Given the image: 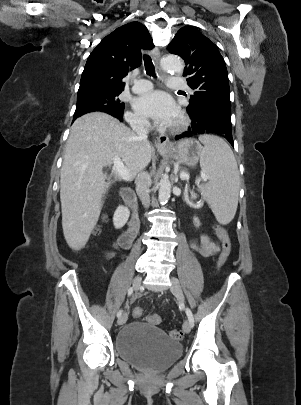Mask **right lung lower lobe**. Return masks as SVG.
Wrapping results in <instances>:
<instances>
[{
	"instance_id": "1",
	"label": "right lung lower lobe",
	"mask_w": 301,
	"mask_h": 405,
	"mask_svg": "<svg viewBox=\"0 0 301 405\" xmlns=\"http://www.w3.org/2000/svg\"><path fill=\"white\" fill-rule=\"evenodd\" d=\"M114 117H116V118H118L119 120H121L122 121V115H113ZM75 120V119H74Z\"/></svg>"
}]
</instances>
